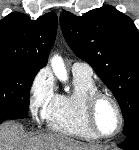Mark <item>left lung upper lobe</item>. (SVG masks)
I'll list each match as a JSON object with an SVG mask.
<instances>
[{
    "label": "left lung upper lobe",
    "mask_w": 139,
    "mask_h": 150,
    "mask_svg": "<svg viewBox=\"0 0 139 150\" xmlns=\"http://www.w3.org/2000/svg\"><path fill=\"white\" fill-rule=\"evenodd\" d=\"M63 35L112 91L124 115L125 136L139 132V34L134 22L105 5L83 16L60 14Z\"/></svg>",
    "instance_id": "left-lung-upper-lobe-1"
}]
</instances>
